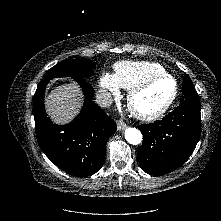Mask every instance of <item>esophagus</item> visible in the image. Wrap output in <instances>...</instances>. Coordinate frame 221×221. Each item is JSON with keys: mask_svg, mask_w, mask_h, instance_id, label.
Segmentation results:
<instances>
[{"mask_svg": "<svg viewBox=\"0 0 221 221\" xmlns=\"http://www.w3.org/2000/svg\"><path fill=\"white\" fill-rule=\"evenodd\" d=\"M126 127H127V125L123 120L120 119V120L117 121V129L119 131L124 130Z\"/></svg>", "mask_w": 221, "mask_h": 221, "instance_id": "esophagus-1", "label": "esophagus"}]
</instances>
